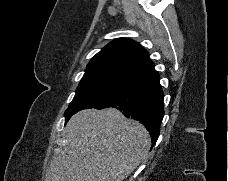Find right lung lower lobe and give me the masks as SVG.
<instances>
[{
    "label": "right lung lower lobe",
    "mask_w": 228,
    "mask_h": 181,
    "mask_svg": "<svg viewBox=\"0 0 228 181\" xmlns=\"http://www.w3.org/2000/svg\"><path fill=\"white\" fill-rule=\"evenodd\" d=\"M159 79V74L153 68L131 80L111 100L94 108H117L127 118L140 121L149 131L153 147L158 139L164 115V94Z\"/></svg>",
    "instance_id": "1"
}]
</instances>
